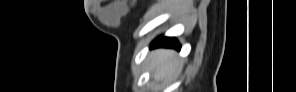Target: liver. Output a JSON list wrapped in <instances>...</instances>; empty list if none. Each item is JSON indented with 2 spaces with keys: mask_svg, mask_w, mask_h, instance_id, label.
<instances>
[{
  "mask_svg": "<svg viewBox=\"0 0 296 92\" xmlns=\"http://www.w3.org/2000/svg\"><path fill=\"white\" fill-rule=\"evenodd\" d=\"M152 58L151 68L156 79L170 76L173 72H179L183 67V62L176 59L175 51L159 49L150 54Z\"/></svg>",
  "mask_w": 296,
  "mask_h": 92,
  "instance_id": "obj_1",
  "label": "liver"
}]
</instances>
